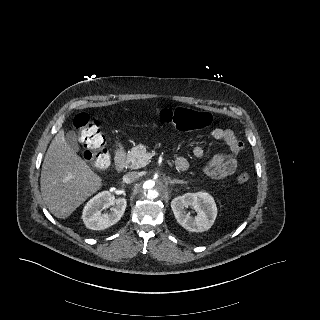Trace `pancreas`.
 I'll return each mask as SVG.
<instances>
[{
	"mask_svg": "<svg viewBox=\"0 0 320 320\" xmlns=\"http://www.w3.org/2000/svg\"><path fill=\"white\" fill-rule=\"evenodd\" d=\"M147 155L146 147L142 144L133 147L127 154L126 165L130 169H138L145 167L149 159L145 158Z\"/></svg>",
	"mask_w": 320,
	"mask_h": 320,
	"instance_id": "pancreas-1",
	"label": "pancreas"
}]
</instances>
